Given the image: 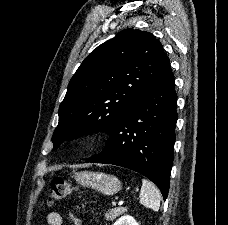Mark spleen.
Returning <instances> with one entry per match:
<instances>
[{
  "label": "spleen",
  "mask_w": 228,
  "mask_h": 225,
  "mask_svg": "<svg viewBox=\"0 0 228 225\" xmlns=\"http://www.w3.org/2000/svg\"><path fill=\"white\" fill-rule=\"evenodd\" d=\"M140 203L147 207V209H152V211H159L161 193L153 183L147 181V179H142V187L140 191Z\"/></svg>",
  "instance_id": "1"
}]
</instances>
